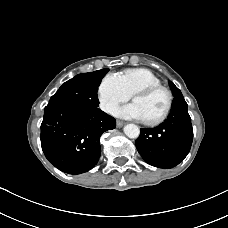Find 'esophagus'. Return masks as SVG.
<instances>
[{"label": "esophagus", "instance_id": "obj_1", "mask_svg": "<svg viewBox=\"0 0 228 228\" xmlns=\"http://www.w3.org/2000/svg\"><path fill=\"white\" fill-rule=\"evenodd\" d=\"M116 124H117V127H122L124 125V122L118 120Z\"/></svg>", "mask_w": 228, "mask_h": 228}]
</instances>
